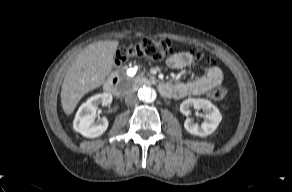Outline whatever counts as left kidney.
I'll return each instance as SVG.
<instances>
[{"mask_svg": "<svg viewBox=\"0 0 292 192\" xmlns=\"http://www.w3.org/2000/svg\"><path fill=\"white\" fill-rule=\"evenodd\" d=\"M202 109L204 112V122L201 125L195 123L191 118L184 122L185 129L192 135L204 137L212 134L222 120V115L218 108L207 99L188 98L180 104L182 114L188 116L190 108Z\"/></svg>", "mask_w": 292, "mask_h": 192, "instance_id": "left-kidney-1", "label": "left kidney"}]
</instances>
